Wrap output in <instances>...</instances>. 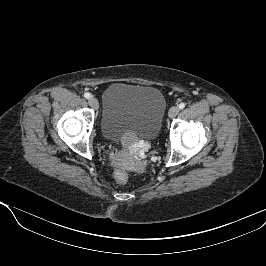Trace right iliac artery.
Here are the masks:
<instances>
[{
    "instance_id": "1",
    "label": "right iliac artery",
    "mask_w": 266,
    "mask_h": 266,
    "mask_svg": "<svg viewBox=\"0 0 266 266\" xmlns=\"http://www.w3.org/2000/svg\"><path fill=\"white\" fill-rule=\"evenodd\" d=\"M84 97H85L86 99H90L91 95H90V93L86 92V93H84Z\"/></svg>"
}]
</instances>
